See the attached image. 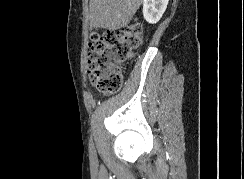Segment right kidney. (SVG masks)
Masks as SVG:
<instances>
[{
	"label": "right kidney",
	"mask_w": 244,
	"mask_h": 179,
	"mask_svg": "<svg viewBox=\"0 0 244 179\" xmlns=\"http://www.w3.org/2000/svg\"><path fill=\"white\" fill-rule=\"evenodd\" d=\"M169 0H144L143 16L149 24H157L162 18Z\"/></svg>",
	"instance_id": "ca27d5eb"
}]
</instances>
